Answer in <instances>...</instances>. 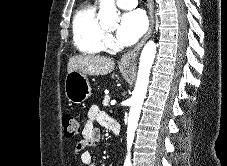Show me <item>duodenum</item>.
I'll return each mask as SVG.
<instances>
[{
  "instance_id": "410a0bca",
  "label": "duodenum",
  "mask_w": 227,
  "mask_h": 166,
  "mask_svg": "<svg viewBox=\"0 0 227 166\" xmlns=\"http://www.w3.org/2000/svg\"><path fill=\"white\" fill-rule=\"evenodd\" d=\"M109 128L112 130L114 134H119L120 132V125L118 120L111 118L109 122Z\"/></svg>"
}]
</instances>
